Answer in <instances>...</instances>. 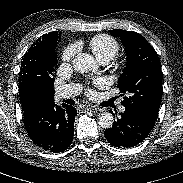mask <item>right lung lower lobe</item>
<instances>
[{
  "instance_id": "1",
  "label": "right lung lower lobe",
  "mask_w": 183,
  "mask_h": 183,
  "mask_svg": "<svg viewBox=\"0 0 183 183\" xmlns=\"http://www.w3.org/2000/svg\"><path fill=\"white\" fill-rule=\"evenodd\" d=\"M62 105L46 99L22 108L29 137L37 146L54 153L64 151L73 141L77 111L73 106Z\"/></svg>"
}]
</instances>
